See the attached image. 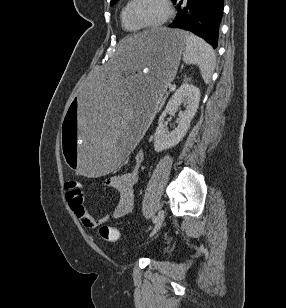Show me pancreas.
<instances>
[{"mask_svg": "<svg viewBox=\"0 0 286 308\" xmlns=\"http://www.w3.org/2000/svg\"><path fill=\"white\" fill-rule=\"evenodd\" d=\"M163 101H164L163 99H161L160 101H157L156 107H158V106H159V104H161V105H162Z\"/></svg>", "mask_w": 286, "mask_h": 308, "instance_id": "1", "label": "pancreas"}]
</instances>
